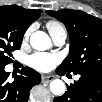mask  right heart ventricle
Here are the masks:
<instances>
[{
	"mask_svg": "<svg viewBox=\"0 0 102 102\" xmlns=\"http://www.w3.org/2000/svg\"><path fill=\"white\" fill-rule=\"evenodd\" d=\"M46 27L49 30L51 35L58 34V33H61V32L66 33L65 26L58 20H49L46 23Z\"/></svg>",
	"mask_w": 102,
	"mask_h": 102,
	"instance_id": "right-heart-ventricle-1",
	"label": "right heart ventricle"
}]
</instances>
